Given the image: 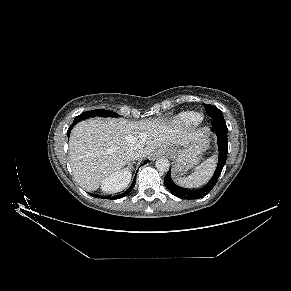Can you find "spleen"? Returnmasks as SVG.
I'll return each mask as SVG.
<instances>
[{
    "mask_svg": "<svg viewBox=\"0 0 291 291\" xmlns=\"http://www.w3.org/2000/svg\"><path fill=\"white\" fill-rule=\"evenodd\" d=\"M216 166V156H212L196 167L195 171L187 177H178L176 182L185 188H198L204 185L212 176Z\"/></svg>",
    "mask_w": 291,
    "mask_h": 291,
    "instance_id": "obj_1",
    "label": "spleen"
}]
</instances>
